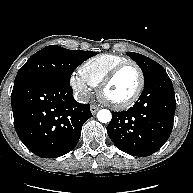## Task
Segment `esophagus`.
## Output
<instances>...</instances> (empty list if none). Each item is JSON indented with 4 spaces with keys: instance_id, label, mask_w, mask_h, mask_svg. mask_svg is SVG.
<instances>
[{
    "instance_id": "34e87169",
    "label": "esophagus",
    "mask_w": 193,
    "mask_h": 193,
    "mask_svg": "<svg viewBox=\"0 0 193 193\" xmlns=\"http://www.w3.org/2000/svg\"><path fill=\"white\" fill-rule=\"evenodd\" d=\"M90 110L92 114H95L99 110V107L95 105H91Z\"/></svg>"
}]
</instances>
